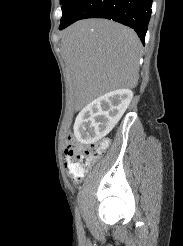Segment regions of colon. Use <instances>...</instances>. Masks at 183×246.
I'll return each instance as SVG.
<instances>
[{"label": "colon", "mask_w": 183, "mask_h": 246, "mask_svg": "<svg viewBox=\"0 0 183 246\" xmlns=\"http://www.w3.org/2000/svg\"><path fill=\"white\" fill-rule=\"evenodd\" d=\"M108 146L107 140H102L91 144L85 148L77 146L72 137H68L66 151V167L70 173L77 179L83 175L84 167L100 158Z\"/></svg>", "instance_id": "colon-1"}]
</instances>
